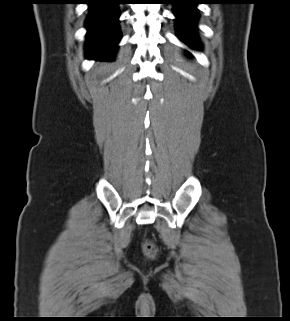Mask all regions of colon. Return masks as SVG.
I'll return each instance as SVG.
<instances>
[{
  "instance_id": "colon-1",
  "label": "colon",
  "mask_w": 290,
  "mask_h": 321,
  "mask_svg": "<svg viewBox=\"0 0 290 321\" xmlns=\"http://www.w3.org/2000/svg\"><path fill=\"white\" fill-rule=\"evenodd\" d=\"M143 247H144V251L147 253V255L154 256L156 254V248L152 243L145 242Z\"/></svg>"
}]
</instances>
